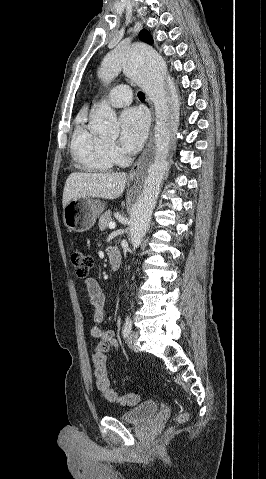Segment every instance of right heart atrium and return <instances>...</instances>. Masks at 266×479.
<instances>
[{
    "instance_id": "right-heart-atrium-1",
    "label": "right heart atrium",
    "mask_w": 266,
    "mask_h": 479,
    "mask_svg": "<svg viewBox=\"0 0 266 479\" xmlns=\"http://www.w3.org/2000/svg\"><path fill=\"white\" fill-rule=\"evenodd\" d=\"M107 149L110 156L114 159L115 162L122 163L125 161V157L119 147L113 142L107 143Z\"/></svg>"
}]
</instances>
